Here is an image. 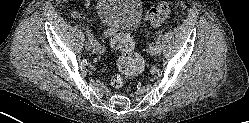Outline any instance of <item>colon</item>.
I'll list each match as a JSON object with an SVG mask.
<instances>
[{"instance_id": "colon-1", "label": "colon", "mask_w": 249, "mask_h": 123, "mask_svg": "<svg viewBox=\"0 0 249 123\" xmlns=\"http://www.w3.org/2000/svg\"><path fill=\"white\" fill-rule=\"evenodd\" d=\"M169 13V3L162 1L147 12L146 19L149 23L158 25ZM111 46L120 53L117 61L119 73L111 78V85L115 89H120L124 86L128 78L134 77L142 72L144 60L135 52L132 38L123 31L111 37Z\"/></svg>"}]
</instances>
